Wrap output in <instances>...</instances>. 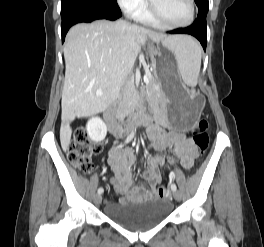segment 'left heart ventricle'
Masks as SVG:
<instances>
[{"label": "left heart ventricle", "instance_id": "b2bd125f", "mask_svg": "<svg viewBox=\"0 0 264 247\" xmlns=\"http://www.w3.org/2000/svg\"><path fill=\"white\" fill-rule=\"evenodd\" d=\"M158 13L170 23L185 22L190 16L188 0H153Z\"/></svg>", "mask_w": 264, "mask_h": 247}]
</instances>
